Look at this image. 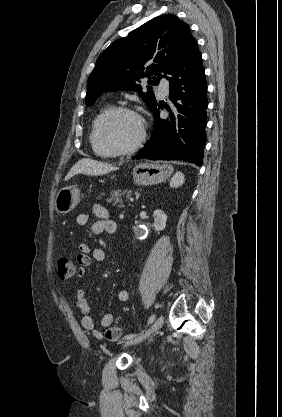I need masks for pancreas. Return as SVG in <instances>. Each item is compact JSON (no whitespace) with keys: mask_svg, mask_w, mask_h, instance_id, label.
<instances>
[{"mask_svg":"<svg viewBox=\"0 0 282 417\" xmlns=\"http://www.w3.org/2000/svg\"><path fill=\"white\" fill-rule=\"evenodd\" d=\"M132 190H111L108 202H112L113 206H125L124 200H128Z\"/></svg>","mask_w":282,"mask_h":417,"instance_id":"cf45deb5","label":"pancreas"}]
</instances>
